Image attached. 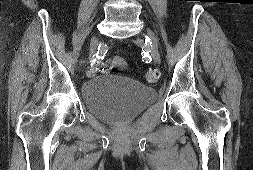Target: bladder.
Masks as SVG:
<instances>
[{"instance_id": "bladder-1", "label": "bladder", "mask_w": 253, "mask_h": 170, "mask_svg": "<svg viewBox=\"0 0 253 170\" xmlns=\"http://www.w3.org/2000/svg\"><path fill=\"white\" fill-rule=\"evenodd\" d=\"M81 95L90 113L110 123L130 121L156 100L155 88L110 73L85 81Z\"/></svg>"}]
</instances>
